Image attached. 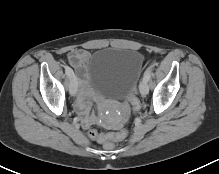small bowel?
<instances>
[{"instance_id":"small-bowel-1","label":"small bowel","mask_w":219,"mask_h":174,"mask_svg":"<svg viewBox=\"0 0 219 174\" xmlns=\"http://www.w3.org/2000/svg\"><path fill=\"white\" fill-rule=\"evenodd\" d=\"M90 57H91V53L83 49L72 50L68 53V60L70 64L81 73V78H80L81 91L77 99V109L82 115L83 125L86 128L90 127L96 119L93 115H90L89 105L86 101V99L90 96V93L88 90L89 81H88L87 73L85 72V68ZM120 126L121 124L119 121H114L111 123L110 128L118 129L120 128Z\"/></svg>"}]
</instances>
